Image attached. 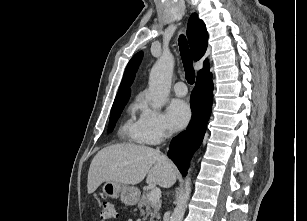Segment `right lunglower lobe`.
Returning a JSON list of instances; mask_svg holds the SVG:
<instances>
[{
  "label": "right lung lower lobe",
  "mask_w": 307,
  "mask_h": 221,
  "mask_svg": "<svg viewBox=\"0 0 307 221\" xmlns=\"http://www.w3.org/2000/svg\"><path fill=\"white\" fill-rule=\"evenodd\" d=\"M210 78H197L190 99L191 122L187 130L173 138L169 147L168 156L176 164L183 176L186 174L189 160L203 140L211 114L213 83Z\"/></svg>",
  "instance_id": "1"
}]
</instances>
